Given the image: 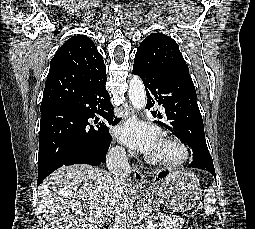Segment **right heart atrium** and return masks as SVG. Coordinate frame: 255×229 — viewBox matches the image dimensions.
<instances>
[{
	"instance_id": "right-heart-atrium-1",
	"label": "right heart atrium",
	"mask_w": 255,
	"mask_h": 229,
	"mask_svg": "<svg viewBox=\"0 0 255 229\" xmlns=\"http://www.w3.org/2000/svg\"><path fill=\"white\" fill-rule=\"evenodd\" d=\"M115 151H116V152H119L120 150H119V149H116Z\"/></svg>"
}]
</instances>
